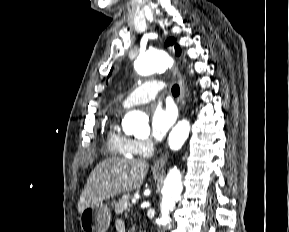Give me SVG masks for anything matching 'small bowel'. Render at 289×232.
Wrapping results in <instances>:
<instances>
[{
	"instance_id": "1",
	"label": "small bowel",
	"mask_w": 289,
	"mask_h": 232,
	"mask_svg": "<svg viewBox=\"0 0 289 232\" xmlns=\"http://www.w3.org/2000/svg\"><path fill=\"white\" fill-rule=\"evenodd\" d=\"M115 229L117 232H126L125 223L122 220L115 222Z\"/></svg>"
}]
</instances>
